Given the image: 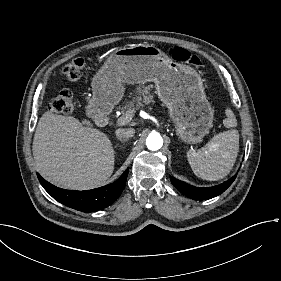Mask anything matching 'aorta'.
Returning <instances> with one entry per match:
<instances>
[{"mask_svg":"<svg viewBox=\"0 0 281 281\" xmlns=\"http://www.w3.org/2000/svg\"><path fill=\"white\" fill-rule=\"evenodd\" d=\"M146 145L150 150H158L163 146V139L158 132H151L146 139Z\"/></svg>","mask_w":281,"mask_h":281,"instance_id":"762f6f07","label":"aorta"}]
</instances>
